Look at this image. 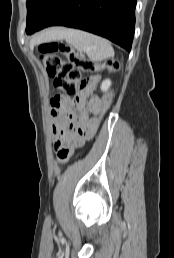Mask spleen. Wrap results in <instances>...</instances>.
I'll return each instance as SVG.
<instances>
[{"mask_svg":"<svg viewBox=\"0 0 174 258\" xmlns=\"http://www.w3.org/2000/svg\"><path fill=\"white\" fill-rule=\"evenodd\" d=\"M51 33L54 38H64L92 60L101 61L114 56L110 42L102 37L76 29H55Z\"/></svg>","mask_w":174,"mask_h":258,"instance_id":"3e777b00","label":"spleen"}]
</instances>
